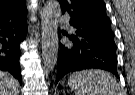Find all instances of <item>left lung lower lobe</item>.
<instances>
[{
    "instance_id": "1",
    "label": "left lung lower lobe",
    "mask_w": 135,
    "mask_h": 95,
    "mask_svg": "<svg viewBox=\"0 0 135 95\" xmlns=\"http://www.w3.org/2000/svg\"><path fill=\"white\" fill-rule=\"evenodd\" d=\"M62 33L68 37L70 44L60 43L56 83L69 72L90 68L110 71L119 78L114 36L100 33Z\"/></svg>"
}]
</instances>
